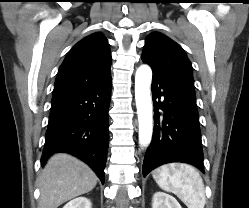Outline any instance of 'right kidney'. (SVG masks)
Listing matches in <instances>:
<instances>
[{
  "mask_svg": "<svg viewBox=\"0 0 249 208\" xmlns=\"http://www.w3.org/2000/svg\"><path fill=\"white\" fill-rule=\"evenodd\" d=\"M63 208H91V202L85 197H78L68 202Z\"/></svg>",
  "mask_w": 249,
  "mask_h": 208,
  "instance_id": "right-kidney-1",
  "label": "right kidney"
}]
</instances>
